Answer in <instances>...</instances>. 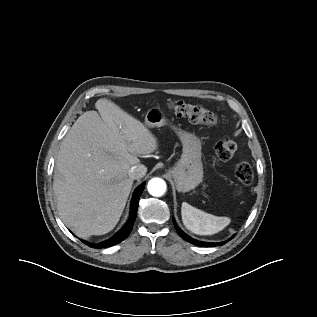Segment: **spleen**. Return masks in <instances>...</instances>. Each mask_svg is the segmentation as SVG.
Wrapping results in <instances>:
<instances>
[{"instance_id": "3e777b00", "label": "spleen", "mask_w": 317, "mask_h": 317, "mask_svg": "<svg viewBox=\"0 0 317 317\" xmlns=\"http://www.w3.org/2000/svg\"><path fill=\"white\" fill-rule=\"evenodd\" d=\"M181 215L185 227L197 235H213L222 231L231 222L229 217L206 213L187 202L182 203Z\"/></svg>"}]
</instances>
